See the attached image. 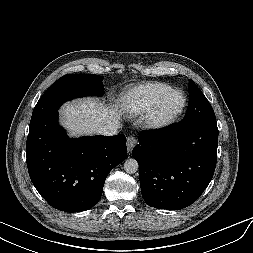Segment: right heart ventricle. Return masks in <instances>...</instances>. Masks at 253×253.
<instances>
[{
	"mask_svg": "<svg viewBox=\"0 0 253 253\" xmlns=\"http://www.w3.org/2000/svg\"><path fill=\"white\" fill-rule=\"evenodd\" d=\"M168 83L148 81L129 88L122 96V106L130 116H142L151 109L155 101L170 90Z\"/></svg>",
	"mask_w": 253,
	"mask_h": 253,
	"instance_id": "right-heart-ventricle-1",
	"label": "right heart ventricle"
}]
</instances>
